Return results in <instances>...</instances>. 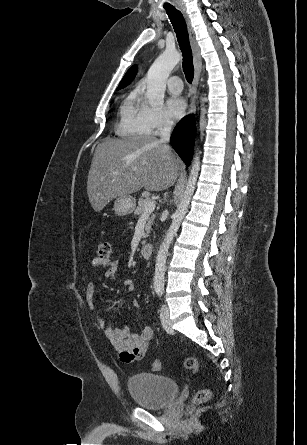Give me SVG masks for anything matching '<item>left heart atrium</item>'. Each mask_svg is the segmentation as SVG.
Here are the masks:
<instances>
[{"instance_id":"left-heart-atrium-1","label":"left heart atrium","mask_w":307,"mask_h":445,"mask_svg":"<svg viewBox=\"0 0 307 445\" xmlns=\"http://www.w3.org/2000/svg\"><path fill=\"white\" fill-rule=\"evenodd\" d=\"M164 105L167 113L174 119L182 117L186 111L185 100L175 94H169L164 100Z\"/></svg>"}]
</instances>
